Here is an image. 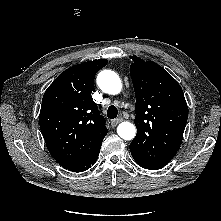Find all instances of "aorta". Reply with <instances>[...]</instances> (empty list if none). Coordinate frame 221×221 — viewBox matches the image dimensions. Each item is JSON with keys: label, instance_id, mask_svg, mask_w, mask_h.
<instances>
[{"label": "aorta", "instance_id": "762f6f07", "mask_svg": "<svg viewBox=\"0 0 221 221\" xmlns=\"http://www.w3.org/2000/svg\"><path fill=\"white\" fill-rule=\"evenodd\" d=\"M97 84L107 94L116 95L122 89V83L117 73L103 70L97 76ZM118 135L124 140H132L136 135V128L130 122H122L117 127Z\"/></svg>", "mask_w": 221, "mask_h": 221}]
</instances>
